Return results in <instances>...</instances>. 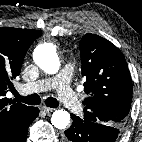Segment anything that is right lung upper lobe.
Wrapping results in <instances>:
<instances>
[{"instance_id": "cb5924a9", "label": "right lung upper lobe", "mask_w": 142, "mask_h": 142, "mask_svg": "<svg viewBox=\"0 0 142 142\" xmlns=\"http://www.w3.org/2000/svg\"><path fill=\"white\" fill-rule=\"evenodd\" d=\"M41 31L0 28V142H7L24 123L31 107L6 98L11 80L20 74L25 54Z\"/></svg>"}]
</instances>
